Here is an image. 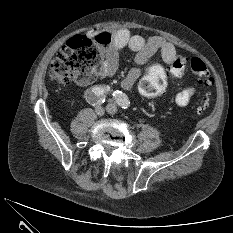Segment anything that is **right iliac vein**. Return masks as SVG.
Segmentation results:
<instances>
[{
  "label": "right iliac vein",
  "mask_w": 233,
  "mask_h": 233,
  "mask_svg": "<svg viewBox=\"0 0 233 233\" xmlns=\"http://www.w3.org/2000/svg\"><path fill=\"white\" fill-rule=\"evenodd\" d=\"M95 113L97 114V116L101 117L104 115L105 110L103 107H101L100 105L95 107Z\"/></svg>",
  "instance_id": "63e3f726"
}]
</instances>
